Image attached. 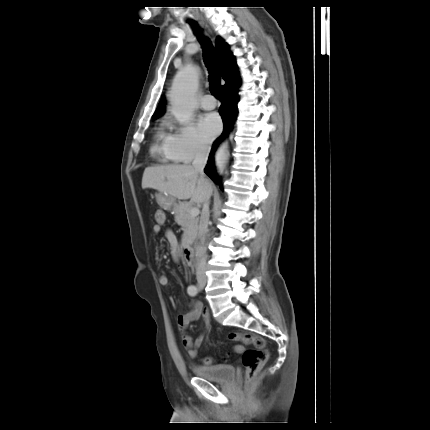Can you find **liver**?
Returning a JSON list of instances; mask_svg holds the SVG:
<instances>
[{
	"label": "liver",
	"instance_id": "1",
	"mask_svg": "<svg viewBox=\"0 0 430 430\" xmlns=\"http://www.w3.org/2000/svg\"><path fill=\"white\" fill-rule=\"evenodd\" d=\"M142 188H152L181 200L191 199L201 204L213 192L212 183L200 180L191 165H160L147 167L142 177Z\"/></svg>",
	"mask_w": 430,
	"mask_h": 430
}]
</instances>
